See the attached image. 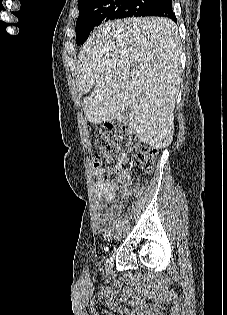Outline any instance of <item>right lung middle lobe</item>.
<instances>
[{
  "label": "right lung middle lobe",
  "mask_w": 227,
  "mask_h": 315,
  "mask_svg": "<svg viewBox=\"0 0 227 315\" xmlns=\"http://www.w3.org/2000/svg\"><path fill=\"white\" fill-rule=\"evenodd\" d=\"M157 0H80L76 22V44H82L89 33L101 23L140 15ZM137 14L135 15L136 11Z\"/></svg>",
  "instance_id": "1"
}]
</instances>
